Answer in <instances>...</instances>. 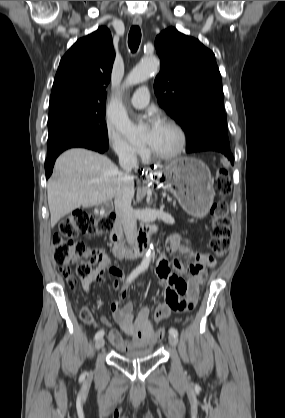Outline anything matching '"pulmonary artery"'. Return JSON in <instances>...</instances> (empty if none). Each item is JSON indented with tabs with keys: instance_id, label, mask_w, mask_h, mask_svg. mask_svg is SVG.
Here are the masks:
<instances>
[{
	"instance_id": "pulmonary-artery-1",
	"label": "pulmonary artery",
	"mask_w": 285,
	"mask_h": 418,
	"mask_svg": "<svg viewBox=\"0 0 285 418\" xmlns=\"http://www.w3.org/2000/svg\"><path fill=\"white\" fill-rule=\"evenodd\" d=\"M149 101V91L147 88H140L130 99V103L136 108L145 107Z\"/></svg>"
}]
</instances>
